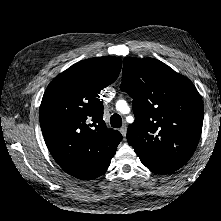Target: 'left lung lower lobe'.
Instances as JSON below:
<instances>
[{
  "instance_id": "1",
  "label": "left lung lower lobe",
  "mask_w": 221,
  "mask_h": 221,
  "mask_svg": "<svg viewBox=\"0 0 221 221\" xmlns=\"http://www.w3.org/2000/svg\"><path fill=\"white\" fill-rule=\"evenodd\" d=\"M138 156L140 158V161L153 173L169 174L181 168L178 165L171 164L152 157L144 155H138Z\"/></svg>"
}]
</instances>
